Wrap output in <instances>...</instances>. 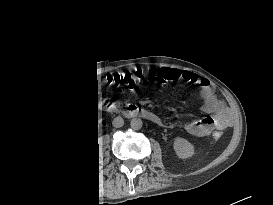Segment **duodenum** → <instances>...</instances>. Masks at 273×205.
I'll return each instance as SVG.
<instances>
[{"instance_id": "410a0bca", "label": "duodenum", "mask_w": 273, "mask_h": 205, "mask_svg": "<svg viewBox=\"0 0 273 205\" xmlns=\"http://www.w3.org/2000/svg\"><path fill=\"white\" fill-rule=\"evenodd\" d=\"M109 110L117 113H121L125 117H143L149 120L156 121L158 120V117L156 114L152 113L151 111L139 108L137 106L128 105V106H116L114 104H111L109 106Z\"/></svg>"}]
</instances>
